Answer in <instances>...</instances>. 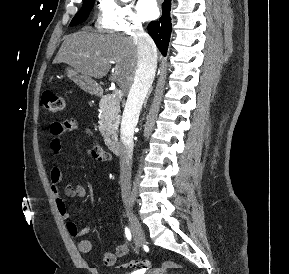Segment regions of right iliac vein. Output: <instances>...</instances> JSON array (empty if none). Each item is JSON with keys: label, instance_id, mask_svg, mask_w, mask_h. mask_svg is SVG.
I'll return each instance as SVG.
<instances>
[{"label": "right iliac vein", "instance_id": "obj_1", "mask_svg": "<svg viewBox=\"0 0 289 274\" xmlns=\"http://www.w3.org/2000/svg\"><path fill=\"white\" fill-rule=\"evenodd\" d=\"M127 213H128L135 245L137 248H140L145 243V236H144L143 229L137 217L134 215V213L131 211L128 205H127Z\"/></svg>", "mask_w": 289, "mask_h": 274}]
</instances>
